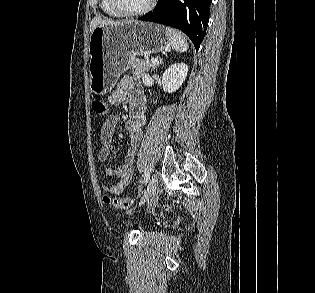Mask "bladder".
<instances>
[{
	"instance_id": "1",
	"label": "bladder",
	"mask_w": 315,
	"mask_h": 293,
	"mask_svg": "<svg viewBox=\"0 0 315 293\" xmlns=\"http://www.w3.org/2000/svg\"><path fill=\"white\" fill-rule=\"evenodd\" d=\"M121 222L125 227H133L139 225L135 220H132L130 218H122Z\"/></svg>"
}]
</instances>
